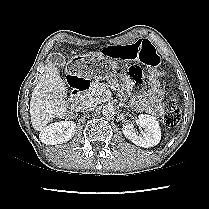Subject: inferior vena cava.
<instances>
[{"mask_svg": "<svg viewBox=\"0 0 209 209\" xmlns=\"http://www.w3.org/2000/svg\"><path fill=\"white\" fill-rule=\"evenodd\" d=\"M97 102L93 98H85L80 101L79 110L81 111H91L96 108Z\"/></svg>", "mask_w": 209, "mask_h": 209, "instance_id": "obj_1", "label": "inferior vena cava"}]
</instances>
